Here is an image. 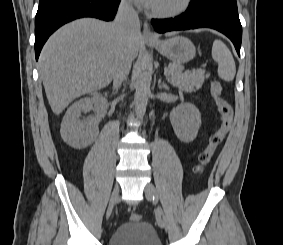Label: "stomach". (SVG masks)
Listing matches in <instances>:
<instances>
[{"mask_svg": "<svg viewBox=\"0 0 283 245\" xmlns=\"http://www.w3.org/2000/svg\"><path fill=\"white\" fill-rule=\"evenodd\" d=\"M148 44L176 64L186 63L192 60L196 54L194 44L183 36H175L167 40Z\"/></svg>", "mask_w": 283, "mask_h": 245, "instance_id": "stomach-1", "label": "stomach"}]
</instances>
